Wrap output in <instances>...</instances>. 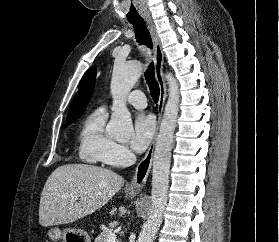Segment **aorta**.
Instances as JSON below:
<instances>
[{"mask_svg": "<svg viewBox=\"0 0 279 242\" xmlns=\"http://www.w3.org/2000/svg\"><path fill=\"white\" fill-rule=\"evenodd\" d=\"M142 74L139 61L116 64L111 79L114 112L106 132L118 141H127L133 132L131 115L125 105V97ZM169 97L165 106L159 134L155 144L152 170L151 209L143 224L137 242H153L162 223L168 200L169 173L174 131L179 110V86L171 73L166 75Z\"/></svg>", "mask_w": 279, "mask_h": 242, "instance_id": "obj_1", "label": "aorta"}]
</instances>
